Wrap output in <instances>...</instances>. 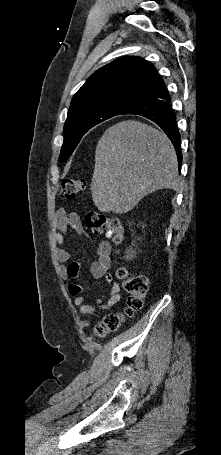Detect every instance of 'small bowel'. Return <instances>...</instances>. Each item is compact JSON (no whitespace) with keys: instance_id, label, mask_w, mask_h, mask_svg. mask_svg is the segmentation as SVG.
I'll list each match as a JSON object with an SVG mask.
<instances>
[{"instance_id":"obj_1","label":"small bowel","mask_w":221,"mask_h":455,"mask_svg":"<svg viewBox=\"0 0 221 455\" xmlns=\"http://www.w3.org/2000/svg\"><path fill=\"white\" fill-rule=\"evenodd\" d=\"M54 222L56 226L55 239L60 245L64 244V234L69 228L74 229L79 236L91 239L89 233L84 229L81 220L76 213H68L64 210H60L57 212ZM94 244L96 260L93 263L84 266L80 262H71L65 268L64 272L70 277L76 278L82 269H88L95 279H106L110 286V296L109 298L102 296L96 299V305H93L89 303L88 299L84 295H82L83 287L80 284L70 283L67 286L68 292L70 295L74 296L73 303L78 307L81 314H93L100 309L110 308L118 303L121 298L120 287L118 283L112 280L109 273L111 266L110 244L104 240L94 241ZM55 256L58 261L65 262L69 259L70 254L66 249L58 247L55 250Z\"/></svg>"}]
</instances>
